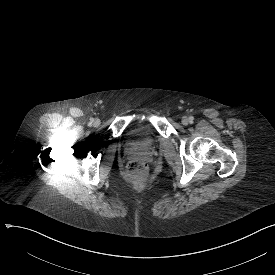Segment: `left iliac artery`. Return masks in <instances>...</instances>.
<instances>
[{
	"label": "left iliac artery",
	"instance_id": "1",
	"mask_svg": "<svg viewBox=\"0 0 275 275\" xmlns=\"http://www.w3.org/2000/svg\"><path fill=\"white\" fill-rule=\"evenodd\" d=\"M193 120H194L193 116H190V117H189V121L192 123Z\"/></svg>",
	"mask_w": 275,
	"mask_h": 275
}]
</instances>
